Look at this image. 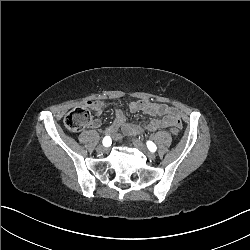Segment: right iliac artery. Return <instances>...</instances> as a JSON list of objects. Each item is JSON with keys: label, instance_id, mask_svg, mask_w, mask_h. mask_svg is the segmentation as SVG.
Masks as SVG:
<instances>
[{"label": "right iliac artery", "instance_id": "obj_1", "mask_svg": "<svg viewBox=\"0 0 250 250\" xmlns=\"http://www.w3.org/2000/svg\"><path fill=\"white\" fill-rule=\"evenodd\" d=\"M102 143L105 147H109L112 144V140H111L110 136L104 137Z\"/></svg>", "mask_w": 250, "mask_h": 250}]
</instances>
